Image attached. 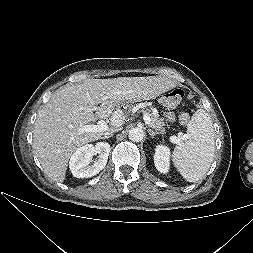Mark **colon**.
<instances>
[{
	"label": "colon",
	"mask_w": 253,
	"mask_h": 253,
	"mask_svg": "<svg viewBox=\"0 0 253 253\" xmlns=\"http://www.w3.org/2000/svg\"><path fill=\"white\" fill-rule=\"evenodd\" d=\"M183 96L184 92L181 89H176L163 98V103L165 105H175L182 100ZM179 120L182 124H186L189 121V114L187 112H181Z\"/></svg>",
	"instance_id": "colon-1"
}]
</instances>
